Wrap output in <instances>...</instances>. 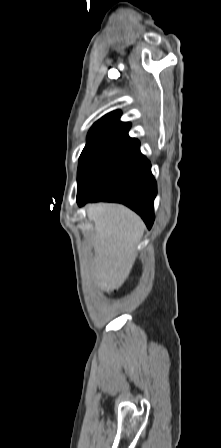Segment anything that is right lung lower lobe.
I'll return each instance as SVG.
<instances>
[{
    "label": "right lung lower lobe",
    "instance_id": "obj_1",
    "mask_svg": "<svg viewBox=\"0 0 221 448\" xmlns=\"http://www.w3.org/2000/svg\"><path fill=\"white\" fill-rule=\"evenodd\" d=\"M139 147V141L131 138L113 149L77 193L78 205L95 201L123 203L137 212L151 228L157 184L151 173V164Z\"/></svg>",
    "mask_w": 221,
    "mask_h": 448
}]
</instances>
